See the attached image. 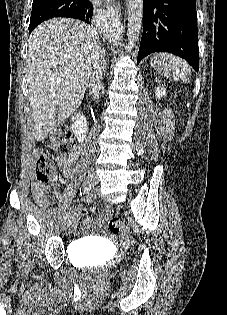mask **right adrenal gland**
Returning <instances> with one entry per match:
<instances>
[{"mask_svg":"<svg viewBox=\"0 0 227 315\" xmlns=\"http://www.w3.org/2000/svg\"><path fill=\"white\" fill-rule=\"evenodd\" d=\"M100 54H101V56L103 57V61H104V68H105V67L107 66L105 51H104V50H102V51L100 52Z\"/></svg>","mask_w":227,"mask_h":315,"instance_id":"2a0ac1e0","label":"right adrenal gland"}]
</instances>
